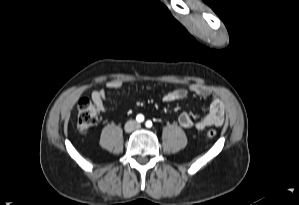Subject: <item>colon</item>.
I'll list each match as a JSON object with an SVG mask.
<instances>
[{"label": "colon", "mask_w": 299, "mask_h": 205, "mask_svg": "<svg viewBox=\"0 0 299 205\" xmlns=\"http://www.w3.org/2000/svg\"><path fill=\"white\" fill-rule=\"evenodd\" d=\"M78 120L77 129L80 133L88 132L94 125H96L100 118L99 109L87 98H83L78 102ZM216 131L210 129L207 131L209 138H214Z\"/></svg>", "instance_id": "colon-1"}]
</instances>
